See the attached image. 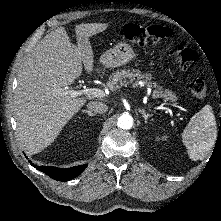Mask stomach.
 <instances>
[{
	"label": "stomach",
	"instance_id": "0dacf381",
	"mask_svg": "<svg viewBox=\"0 0 221 221\" xmlns=\"http://www.w3.org/2000/svg\"><path fill=\"white\" fill-rule=\"evenodd\" d=\"M134 57L135 52L132 47L125 42H121L103 53L100 56V62L106 68H115L128 63Z\"/></svg>",
	"mask_w": 221,
	"mask_h": 221
}]
</instances>
